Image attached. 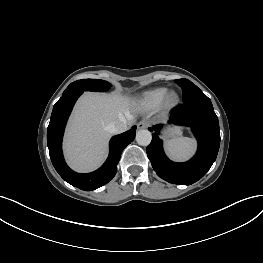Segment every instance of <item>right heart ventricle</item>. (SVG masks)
<instances>
[{"mask_svg": "<svg viewBox=\"0 0 263 263\" xmlns=\"http://www.w3.org/2000/svg\"><path fill=\"white\" fill-rule=\"evenodd\" d=\"M168 93L167 88L157 87L142 92L135 100V105L144 111H150L159 107Z\"/></svg>", "mask_w": 263, "mask_h": 263, "instance_id": "1", "label": "right heart ventricle"}]
</instances>
